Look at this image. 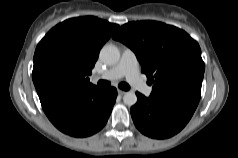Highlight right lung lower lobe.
Here are the masks:
<instances>
[{"label": "right lung lower lobe", "instance_id": "1", "mask_svg": "<svg viewBox=\"0 0 238 158\" xmlns=\"http://www.w3.org/2000/svg\"><path fill=\"white\" fill-rule=\"evenodd\" d=\"M37 93L49 120L74 137L90 136L106 124L116 101L114 87L75 89L43 86Z\"/></svg>", "mask_w": 238, "mask_h": 158}]
</instances>
